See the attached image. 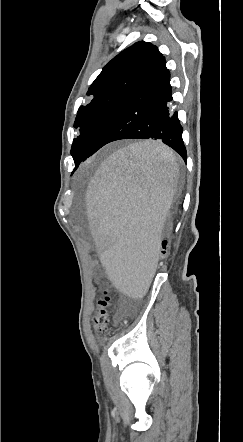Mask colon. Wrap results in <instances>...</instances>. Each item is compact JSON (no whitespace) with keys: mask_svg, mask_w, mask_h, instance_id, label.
I'll use <instances>...</instances> for the list:
<instances>
[{"mask_svg":"<svg viewBox=\"0 0 243 442\" xmlns=\"http://www.w3.org/2000/svg\"><path fill=\"white\" fill-rule=\"evenodd\" d=\"M160 242L162 244V248L159 253V256L157 257V260L159 262H164L165 258H167L168 253L170 251L171 243L169 237L167 236L161 237ZM106 283L108 285H111L113 283V280L111 278H108L106 280ZM102 297H103L102 299L95 300V307L98 308V311L92 319L94 329L96 330L99 336H104L108 331L110 323L109 308L113 300L112 290H103Z\"/></svg>","mask_w":243,"mask_h":442,"instance_id":"1","label":"colon"}]
</instances>
